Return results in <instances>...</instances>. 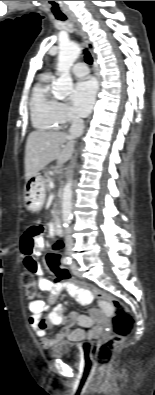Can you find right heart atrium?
<instances>
[{"instance_id": "1", "label": "right heart atrium", "mask_w": 155, "mask_h": 395, "mask_svg": "<svg viewBox=\"0 0 155 395\" xmlns=\"http://www.w3.org/2000/svg\"><path fill=\"white\" fill-rule=\"evenodd\" d=\"M57 115L61 125L69 124L77 119L70 106L62 102L58 104Z\"/></svg>"}]
</instances>
